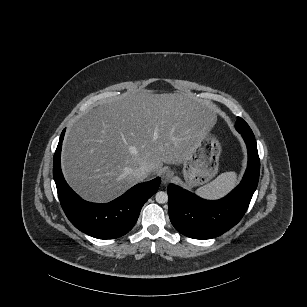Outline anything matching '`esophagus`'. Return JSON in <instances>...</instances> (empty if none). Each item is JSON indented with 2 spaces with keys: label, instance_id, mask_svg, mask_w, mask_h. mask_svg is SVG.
<instances>
[{
  "label": "esophagus",
  "instance_id": "1",
  "mask_svg": "<svg viewBox=\"0 0 307 307\" xmlns=\"http://www.w3.org/2000/svg\"><path fill=\"white\" fill-rule=\"evenodd\" d=\"M174 173L171 170H166L163 174H162V182L163 184H168L171 179L173 178Z\"/></svg>",
  "mask_w": 307,
  "mask_h": 307
}]
</instances>
